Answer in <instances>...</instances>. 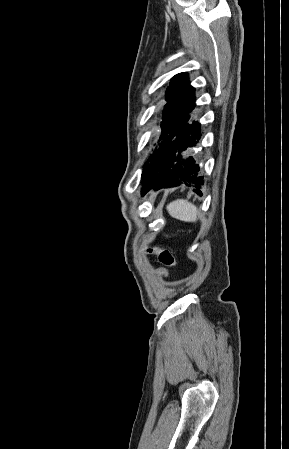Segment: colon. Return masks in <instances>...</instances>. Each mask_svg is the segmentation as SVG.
Returning a JSON list of instances; mask_svg holds the SVG:
<instances>
[{"mask_svg":"<svg viewBox=\"0 0 289 449\" xmlns=\"http://www.w3.org/2000/svg\"><path fill=\"white\" fill-rule=\"evenodd\" d=\"M151 253H156L160 263L168 267L176 266V259L173 254L167 249L154 248L149 250Z\"/></svg>","mask_w":289,"mask_h":449,"instance_id":"1","label":"colon"}]
</instances>
